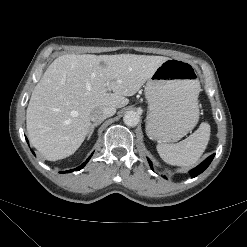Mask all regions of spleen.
I'll list each match as a JSON object with an SVG mask.
<instances>
[{"instance_id": "3e777b00", "label": "spleen", "mask_w": 247, "mask_h": 247, "mask_svg": "<svg viewBox=\"0 0 247 247\" xmlns=\"http://www.w3.org/2000/svg\"><path fill=\"white\" fill-rule=\"evenodd\" d=\"M196 107L197 103H196ZM210 139V125L207 122L186 139L176 144L159 143L156 148L163 161L170 165L192 166L202 156Z\"/></svg>"}]
</instances>
